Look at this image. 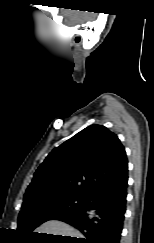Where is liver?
<instances>
[{
    "label": "liver",
    "instance_id": "liver-1",
    "mask_svg": "<svg viewBox=\"0 0 154 243\" xmlns=\"http://www.w3.org/2000/svg\"><path fill=\"white\" fill-rule=\"evenodd\" d=\"M38 233L82 238V234L72 226L57 220L45 222L36 229Z\"/></svg>",
    "mask_w": 154,
    "mask_h": 243
}]
</instances>
